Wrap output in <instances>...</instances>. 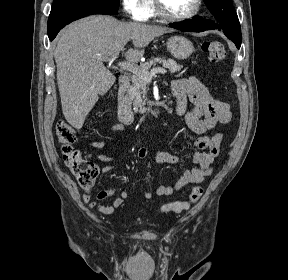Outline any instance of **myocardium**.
I'll list each match as a JSON object with an SVG mask.
<instances>
[{"label": "myocardium", "mask_w": 288, "mask_h": 280, "mask_svg": "<svg viewBox=\"0 0 288 280\" xmlns=\"http://www.w3.org/2000/svg\"><path fill=\"white\" fill-rule=\"evenodd\" d=\"M155 11L157 15L167 21L182 22L195 17L201 10L202 0H195L194 8L185 15L174 16L166 12L161 0H154Z\"/></svg>", "instance_id": "1"}]
</instances>
